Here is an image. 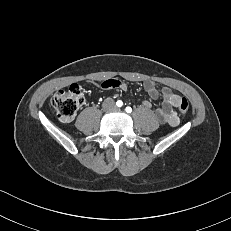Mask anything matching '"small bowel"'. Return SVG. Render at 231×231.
I'll list each match as a JSON object with an SVG mask.
<instances>
[{"mask_svg":"<svg viewBox=\"0 0 231 231\" xmlns=\"http://www.w3.org/2000/svg\"><path fill=\"white\" fill-rule=\"evenodd\" d=\"M147 94L154 100L159 97L162 99V107L155 110L157 119L163 123L172 127L178 126L180 118L177 113L181 96L175 94L169 87H163L161 91L158 90L155 82L147 80L143 84ZM102 87L106 89L118 88L120 90H126V84L116 79H108L102 83ZM141 105L147 109H152V103L149 101H141Z\"/></svg>","mask_w":231,"mask_h":231,"instance_id":"small-bowel-1","label":"small bowel"}]
</instances>
